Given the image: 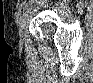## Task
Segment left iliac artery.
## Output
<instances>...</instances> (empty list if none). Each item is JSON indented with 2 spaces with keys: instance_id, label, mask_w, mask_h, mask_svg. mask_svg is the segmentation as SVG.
Here are the masks:
<instances>
[{
  "instance_id": "44dca946",
  "label": "left iliac artery",
  "mask_w": 93,
  "mask_h": 83,
  "mask_svg": "<svg viewBox=\"0 0 93 83\" xmlns=\"http://www.w3.org/2000/svg\"><path fill=\"white\" fill-rule=\"evenodd\" d=\"M26 9H27V6H25V8H24V11H25V12L27 11Z\"/></svg>"
}]
</instances>
